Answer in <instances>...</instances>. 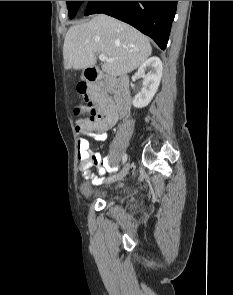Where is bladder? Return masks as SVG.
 <instances>
[{"instance_id":"1","label":"bladder","mask_w":233,"mask_h":295,"mask_svg":"<svg viewBox=\"0 0 233 295\" xmlns=\"http://www.w3.org/2000/svg\"><path fill=\"white\" fill-rule=\"evenodd\" d=\"M79 191L84 197H91L94 195L93 185L90 182H83L79 186Z\"/></svg>"}]
</instances>
